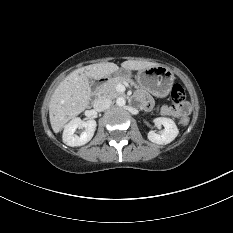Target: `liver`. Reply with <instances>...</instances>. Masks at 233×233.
<instances>
[{
  "label": "liver",
  "mask_w": 233,
  "mask_h": 233,
  "mask_svg": "<svg viewBox=\"0 0 233 233\" xmlns=\"http://www.w3.org/2000/svg\"><path fill=\"white\" fill-rule=\"evenodd\" d=\"M157 63L147 61L128 60L121 64L126 70H144ZM119 71V67L111 62L97 63L79 68L70 73L55 89L49 104L50 124L55 133H58L64 125L81 112H83L90 100L91 87L89 78L100 80Z\"/></svg>",
  "instance_id": "liver-1"
}]
</instances>
